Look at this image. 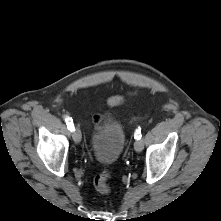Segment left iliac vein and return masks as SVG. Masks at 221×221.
Listing matches in <instances>:
<instances>
[{"mask_svg":"<svg viewBox=\"0 0 221 221\" xmlns=\"http://www.w3.org/2000/svg\"><path fill=\"white\" fill-rule=\"evenodd\" d=\"M134 148L137 152H141L143 150V141L142 140H136L134 143Z\"/></svg>","mask_w":221,"mask_h":221,"instance_id":"left-iliac-vein-1","label":"left iliac vein"}]
</instances>
